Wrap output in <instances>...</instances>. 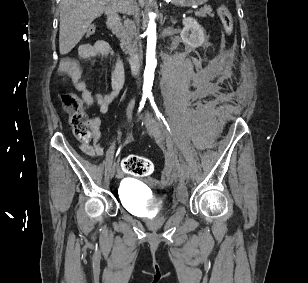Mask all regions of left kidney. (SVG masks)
Returning <instances> with one entry per match:
<instances>
[{
	"label": "left kidney",
	"instance_id": "left-kidney-1",
	"mask_svg": "<svg viewBox=\"0 0 308 283\" xmlns=\"http://www.w3.org/2000/svg\"><path fill=\"white\" fill-rule=\"evenodd\" d=\"M184 28L180 33L181 39L184 44L197 48L205 42V35L203 28L198 24V22L193 18L183 19ZM191 32V34L189 33Z\"/></svg>",
	"mask_w": 308,
	"mask_h": 283
}]
</instances>
